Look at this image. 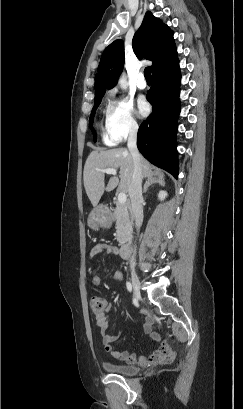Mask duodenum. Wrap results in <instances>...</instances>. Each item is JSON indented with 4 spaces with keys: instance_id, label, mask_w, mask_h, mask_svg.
<instances>
[{
    "instance_id": "obj_1",
    "label": "duodenum",
    "mask_w": 243,
    "mask_h": 409,
    "mask_svg": "<svg viewBox=\"0 0 243 409\" xmlns=\"http://www.w3.org/2000/svg\"><path fill=\"white\" fill-rule=\"evenodd\" d=\"M131 254V245L130 244H123L120 247V255L122 258L127 259L130 257Z\"/></svg>"
}]
</instances>
